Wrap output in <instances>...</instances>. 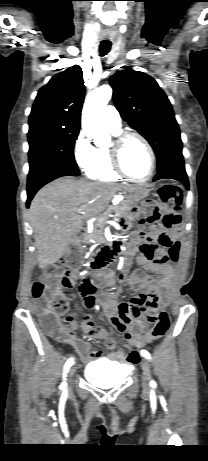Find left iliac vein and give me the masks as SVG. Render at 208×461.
<instances>
[{"label": "left iliac vein", "instance_id": "1", "mask_svg": "<svg viewBox=\"0 0 208 461\" xmlns=\"http://www.w3.org/2000/svg\"><path fill=\"white\" fill-rule=\"evenodd\" d=\"M141 367L143 370V376H142V384L144 390H148L150 380H151V374H150V364L149 361L145 358L141 360Z\"/></svg>", "mask_w": 208, "mask_h": 461}]
</instances>
